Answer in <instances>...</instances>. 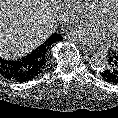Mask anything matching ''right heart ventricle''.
Segmentation results:
<instances>
[{"instance_id":"e07e8e85","label":"right heart ventricle","mask_w":118,"mask_h":118,"mask_svg":"<svg viewBox=\"0 0 118 118\" xmlns=\"http://www.w3.org/2000/svg\"><path fill=\"white\" fill-rule=\"evenodd\" d=\"M93 4L99 8L102 9L103 7H105L111 0H92Z\"/></svg>"}]
</instances>
